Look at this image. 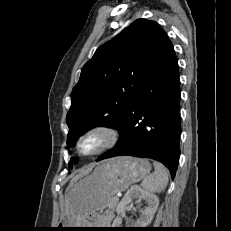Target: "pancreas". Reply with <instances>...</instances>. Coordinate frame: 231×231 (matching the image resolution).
I'll list each match as a JSON object with an SVG mask.
<instances>
[{
    "label": "pancreas",
    "instance_id": "pancreas-1",
    "mask_svg": "<svg viewBox=\"0 0 231 231\" xmlns=\"http://www.w3.org/2000/svg\"><path fill=\"white\" fill-rule=\"evenodd\" d=\"M118 204V199H115V197H112L109 201V208L114 209Z\"/></svg>",
    "mask_w": 231,
    "mask_h": 231
}]
</instances>
